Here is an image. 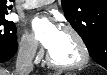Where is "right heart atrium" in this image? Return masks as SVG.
Masks as SVG:
<instances>
[{
    "mask_svg": "<svg viewBox=\"0 0 107 75\" xmlns=\"http://www.w3.org/2000/svg\"><path fill=\"white\" fill-rule=\"evenodd\" d=\"M19 53L28 60H38L41 51L35 39L27 32H24L19 40Z\"/></svg>",
    "mask_w": 107,
    "mask_h": 75,
    "instance_id": "obj_1",
    "label": "right heart atrium"
}]
</instances>
